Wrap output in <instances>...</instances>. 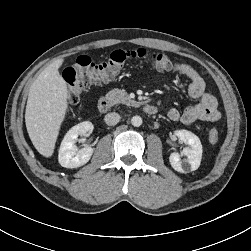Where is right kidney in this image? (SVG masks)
<instances>
[{"instance_id": "ca27d5eb", "label": "right kidney", "mask_w": 251, "mask_h": 251, "mask_svg": "<svg viewBox=\"0 0 251 251\" xmlns=\"http://www.w3.org/2000/svg\"><path fill=\"white\" fill-rule=\"evenodd\" d=\"M94 126L91 122L85 121L73 126L65 135L61 142L58 161L61 166L66 168H77L86 164L92 154L93 148L86 146L80 150L77 149L75 143L78 136L85 135L88 131L93 130Z\"/></svg>"}]
</instances>
